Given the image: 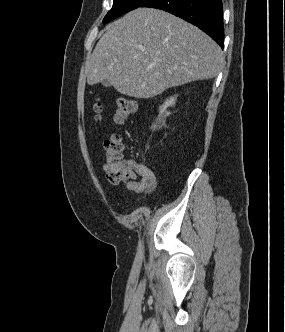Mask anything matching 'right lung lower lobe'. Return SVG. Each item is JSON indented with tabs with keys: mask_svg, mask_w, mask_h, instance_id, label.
I'll list each match as a JSON object with an SVG mask.
<instances>
[{
	"mask_svg": "<svg viewBox=\"0 0 285 332\" xmlns=\"http://www.w3.org/2000/svg\"><path fill=\"white\" fill-rule=\"evenodd\" d=\"M139 7L170 12L199 27L223 48L222 0H146Z\"/></svg>",
	"mask_w": 285,
	"mask_h": 332,
	"instance_id": "1",
	"label": "right lung lower lobe"
}]
</instances>
